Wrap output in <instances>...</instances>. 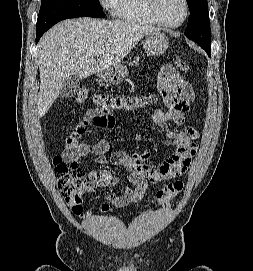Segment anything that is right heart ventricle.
Wrapping results in <instances>:
<instances>
[{
	"label": "right heart ventricle",
	"mask_w": 253,
	"mask_h": 271,
	"mask_svg": "<svg viewBox=\"0 0 253 271\" xmlns=\"http://www.w3.org/2000/svg\"><path fill=\"white\" fill-rule=\"evenodd\" d=\"M113 12L124 21L159 25L148 10L147 0H117Z\"/></svg>",
	"instance_id": "1"
}]
</instances>
